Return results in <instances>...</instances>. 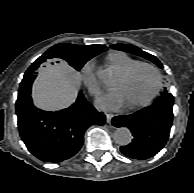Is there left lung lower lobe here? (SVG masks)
<instances>
[{
  "instance_id": "obj_1",
  "label": "left lung lower lobe",
  "mask_w": 194,
  "mask_h": 193,
  "mask_svg": "<svg viewBox=\"0 0 194 193\" xmlns=\"http://www.w3.org/2000/svg\"><path fill=\"white\" fill-rule=\"evenodd\" d=\"M173 96L161 95L154 103L130 115L112 119L115 127H127L132 141L121 146V152L130 158L145 160L156 155L166 144L173 122Z\"/></svg>"
}]
</instances>
